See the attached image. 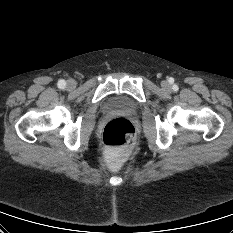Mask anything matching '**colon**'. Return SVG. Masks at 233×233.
Wrapping results in <instances>:
<instances>
[{"label":"colon","instance_id":"obj_1","mask_svg":"<svg viewBox=\"0 0 233 233\" xmlns=\"http://www.w3.org/2000/svg\"><path fill=\"white\" fill-rule=\"evenodd\" d=\"M102 141L111 150V163L118 164L128 157L135 145V128L128 119L115 118L105 126Z\"/></svg>","mask_w":233,"mask_h":233}]
</instances>
